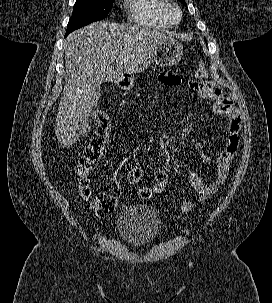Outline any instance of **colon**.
Wrapping results in <instances>:
<instances>
[{
  "label": "colon",
  "instance_id": "obj_1",
  "mask_svg": "<svg viewBox=\"0 0 272 303\" xmlns=\"http://www.w3.org/2000/svg\"><path fill=\"white\" fill-rule=\"evenodd\" d=\"M207 76V70L204 65H200L195 72V78L202 80ZM95 135L90 144L83 152L77 164L78 174V194L79 197L88 203L91 212L97 217H106L112 214L118 207V198L112 194H100L93 196L88 180V175L94 169L96 163L101 159L104 150L107 147L111 126L108 117L103 114L96 116ZM168 183V174L157 167L154 172V183L151 186L142 187L139 190V196L143 199L161 193Z\"/></svg>",
  "mask_w": 272,
  "mask_h": 303
}]
</instances>
